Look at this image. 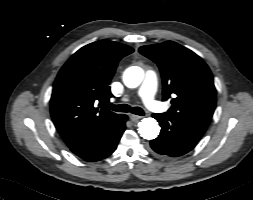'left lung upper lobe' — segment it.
I'll return each instance as SVG.
<instances>
[{
	"label": "left lung upper lobe",
	"mask_w": 253,
	"mask_h": 200,
	"mask_svg": "<svg viewBox=\"0 0 253 200\" xmlns=\"http://www.w3.org/2000/svg\"><path fill=\"white\" fill-rule=\"evenodd\" d=\"M139 52L161 71L163 99L172 104L166 113L207 127L216 107V89L205 62L173 41L142 46Z\"/></svg>",
	"instance_id": "obj_1"
}]
</instances>
